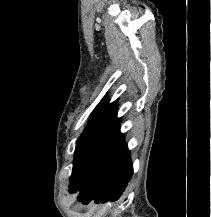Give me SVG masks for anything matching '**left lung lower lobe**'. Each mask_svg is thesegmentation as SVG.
I'll return each mask as SVG.
<instances>
[{
  "mask_svg": "<svg viewBox=\"0 0 211 217\" xmlns=\"http://www.w3.org/2000/svg\"><path fill=\"white\" fill-rule=\"evenodd\" d=\"M133 175L130 151L120 131L93 157L81 174L70 182L69 191H80L84 204L116 201Z\"/></svg>",
  "mask_w": 211,
  "mask_h": 217,
  "instance_id": "left-lung-lower-lobe-1",
  "label": "left lung lower lobe"
}]
</instances>
